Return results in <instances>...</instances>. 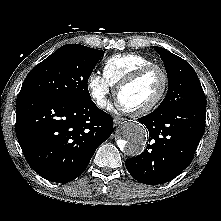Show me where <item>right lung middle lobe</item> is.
Returning <instances> with one entry per match:
<instances>
[{"label":"right lung middle lobe","instance_id":"obj_1","mask_svg":"<svg viewBox=\"0 0 221 221\" xmlns=\"http://www.w3.org/2000/svg\"><path fill=\"white\" fill-rule=\"evenodd\" d=\"M103 55L80 44L64 45L28 73L19 94L90 101L88 79Z\"/></svg>","mask_w":221,"mask_h":221}]
</instances>
